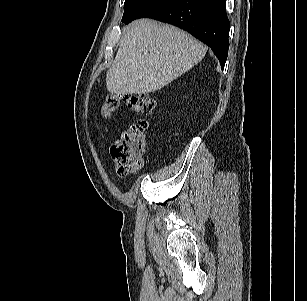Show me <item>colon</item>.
I'll return each instance as SVG.
<instances>
[{
	"label": "colon",
	"mask_w": 307,
	"mask_h": 301,
	"mask_svg": "<svg viewBox=\"0 0 307 301\" xmlns=\"http://www.w3.org/2000/svg\"><path fill=\"white\" fill-rule=\"evenodd\" d=\"M135 113L148 116L156 106L155 99L147 93L108 94L102 106V114L109 118L120 107L121 102ZM147 122L139 120L123 130L115 139L111 147V155L119 176L138 174L143 167V158L146 152Z\"/></svg>",
	"instance_id": "colon-1"
}]
</instances>
